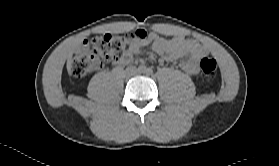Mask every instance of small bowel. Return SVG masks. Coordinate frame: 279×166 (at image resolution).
I'll use <instances>...</instances> for the list:
<instances>
[{
  "mask_svg": "<svg viewBox=\"0 0 279 166\" xmlns=\"http://www.w3.org/2000/svg\"><path fill=\"white\" fill-rule=\"evenodd\" d=\"M148 45H151L152 49L166 61L172 62L184 59L181 63V68L191 75L198 74V61L207 53L200 43L183 35H176L168 39L156 33H146V37L143 40L130 46L125 56L118 61V64L126 65L130 63L133 56L140 54L143 48Z\"/></svg>",
  "mask_w": 279,
  "mask_h": 166,
  "instance_id": "c3829d8e",
  "label": "small bowel"
}]
</instances>
